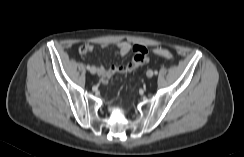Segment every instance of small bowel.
<instances>
[{
  "instance_id": "small-bowel-1",
  "label": "small bowel",
  "mask_w": 244,
  "mask_h": 157,
  "mask_svg": "<svg viewBox=\"0 0 244 157\" xmlns=\"http://www.w3.org/2000/svg\"><path fill=\"white\" fill-rule=\"evenodd\" d=\"M111 45L109 44H101L102 48H107ZM112 47L114 48V50L119 53L120 55L124 56L127 55L128 53H130L131 51L134 52L135 54L139 51V50H146V48L144 46L141 45H132L129 42L123 41V42H119L117 44L112 45ZM93 45L91 44H84L82 46L79 47V53L81 55H88L90 52H92L93 50ZM143 64L138 63L137 61H135V59L133 58L131 62H129L126 65H120V66H115L112 65L108 68L99 65L96 67L97 73L101 79V82L103 84H105L107 82V80L109 78H111L113 75L115 74H127L132 72L134 69H136L137 67L141 66Z\"/></svg>"
}]
</instances>
